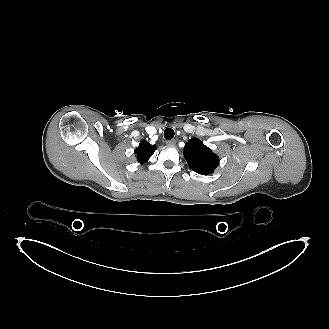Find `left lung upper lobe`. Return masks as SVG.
I'll list each match as a JSON object with an SVG mask.
<instances>
[{
	"mask_svg": "<svg viewBox=\"0 0 329 329\" xmlns=\"http://www.w3.org/2000/svg\"><path fill=\"white\" fill-rule=\"evenodd\" d=\"M184 157L189 167L202 175L212 174L219 165V157L198 138H192L186 142Z\"/></svg>",
	"mask_w": 329,
	"mask_h": 329,
	"instance_id": "left-lung-upper-lobe-1",
	"label": "left lung upper lobe"
}]
</instances>
